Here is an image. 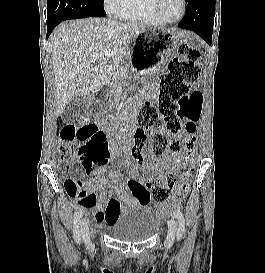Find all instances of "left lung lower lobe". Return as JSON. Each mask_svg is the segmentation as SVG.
<instances>
[{
	"mask_svg": "<svg viewBox=\"0 0 265 273\" xmlns=\"http://www.w3.org/2000/svg\"><path fill=\"white\" fill-rule=\"evenodd\" d=\"M213 7L215 8V0H191L178 27L196 32L211 45L213 26L204 22V15Z\"/></svg>",
	"mask_w": 265,
	"mask_h": 273,
	"instance_id": "1",
	"label": "left lung lower lobe"
}]
</instances>
